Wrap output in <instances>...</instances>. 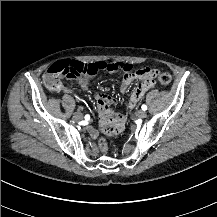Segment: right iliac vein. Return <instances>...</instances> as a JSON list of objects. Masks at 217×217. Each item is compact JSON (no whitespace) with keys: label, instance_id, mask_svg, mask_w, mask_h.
<instances>
[{"label":"right iliac vein","instance_id":"1","mask_svg":"<svg viewBox=\"0 0 217 217\" xmlns=\"http://www.w3.org/2000/svg\"><path fill=\"white\" fill-rule=\"evenodd\" d=\"M76 120L82 119L83 118V114L81 112H76L74 113L73 116Z\"/></svg>","mask_w":217,"mask_h":217}]
</instances>
